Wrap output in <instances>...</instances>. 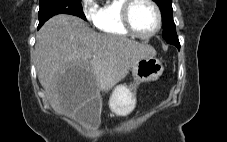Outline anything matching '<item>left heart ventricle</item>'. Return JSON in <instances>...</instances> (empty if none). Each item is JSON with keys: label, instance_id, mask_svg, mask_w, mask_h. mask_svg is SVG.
I'll use <instances>...</instances> for the list:
<instances>
[{"label": "left heart ventricle", "instance_id": "obj_1", "mask_svg": "<svg viewBox=\"0 0 227 142\" xmlns=\"http://www.w3.org/2000/svg\"><path fill=\"white\" fill-rule=\"evenodd\" d=\"M131 20L134 28L142 34L152 32L157 26L155 10L149 3L143 0H140L134 5Z\"/></svg>", "mask_w": 227, "mask_h": 142}]
</instances>
